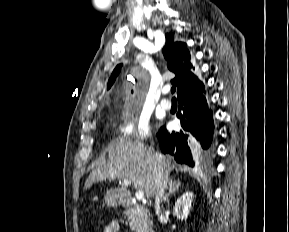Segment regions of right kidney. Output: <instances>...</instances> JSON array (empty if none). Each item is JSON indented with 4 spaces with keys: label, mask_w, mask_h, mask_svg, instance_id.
I'll list each match as a JSON object with an SVG mask.
<instances>
[{
    "label": "right kidney",
    "mask_w": 289,
    "mask_h": 232,
    "mask_svg": "<svg viewBox=\"0 0 289 232\" xmlns=\"http://www.w3.org/2000/svg\"><path fill=\"white\" fill-rule=\"evenodd\" d=\"M193 197L194 194L192 192H186L177 199L173 208L174 215L177 217V219H187L191 209Z\"/></svg>",
    "instance_id": "obj_1"
}]
</instances>
